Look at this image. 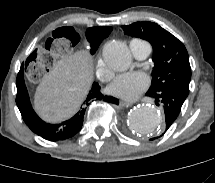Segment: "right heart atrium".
Returning a JSON list of instances; mask_svg holds the SVG:
<instances>
[{
    "instance_id": "right-heart-atrium-1",
    "label": "right heart atrium",
    "mask_w": 215,
    "mask_h": 183,
    "mask_svg": "<svg viewBox=\"0 0 215 183\" xmlns=\"http://www.w3.org/2000/svg\"><path fill=\"white\" fill-rule=\"evenodd\" d=\"M96 74L97 77L103 81L108 82L111 80L113 73L110 71L104 64V61L102 59H99L96 65Z\"/></svg>"
}]
</instances>
